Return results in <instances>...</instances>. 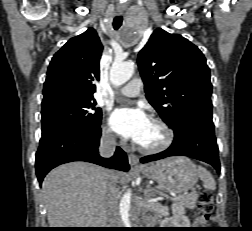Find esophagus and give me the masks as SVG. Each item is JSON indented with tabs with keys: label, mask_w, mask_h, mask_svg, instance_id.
I'll list each match as a JSON object with an SVG mask.
<instances>
[{
	"label": "esophagus",
	"mask_w": 252,
	"mask_h": 231,
	"mask_svg": "<svg viewBox=\"0 0 252 231\" xmlns=\"http://www.w3.org/2000/svg\"><path fill=\"white\" fill-rule=\"evenodd\" d=\"M128 161L131 166H139V159L133 153L128 154Z\"/></svg>",
	"instance_id": "1"
}]
</instances>
